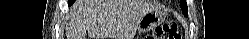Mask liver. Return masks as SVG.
Wrapping results in <instances>:
<instances>
[{"instance_id": "obj_1", "label": "liver", "mask_w": 249, "mask_h": 39, "mask_svg": "<svg viewBox=\"0 0 249 39\" xmlns=\"http://www.w3.org/2000/svg\"><path fill=\"white\" fill-rule=\"evenodd\" d=\"M146 0H98L79 1L73 6L71 22L66 31L67 39L113 37L125 28L135 30L141 17L155 10ZM127 37V33L125 34Z\"/></svg>"}]
</instances>
